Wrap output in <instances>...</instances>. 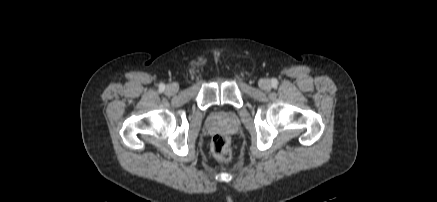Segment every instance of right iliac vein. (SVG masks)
<instances>
[{"label": "right iliac vein", "instance_id": "obj_1", "mask_svg": "<svg viewBox=\"0 0 437 202\" xmlns=\"http://www.w3.org/2000/svg\"><path fill=\"white\" fill-rule=\"evenodd\" d=\"M178 91V86L176 84H170L166 87V93L168 95H173Z\"/></svg>", "mask_w": 437, "mask_h": 202}]
</instances>
